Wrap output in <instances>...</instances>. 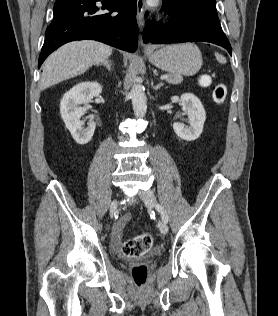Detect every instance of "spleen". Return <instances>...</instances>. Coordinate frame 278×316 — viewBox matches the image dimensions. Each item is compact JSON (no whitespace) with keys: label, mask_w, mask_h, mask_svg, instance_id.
<instances>
[{"label":"spleen","mask_w":278,"mask_h":316,"mask_svg":"<svg viewBox=\"0 0 278 316\" xmlns=\"http://www.w3.org/2000/svg\"><path fill=\"white\" fill-rule=\"evenodd\" d=\"M215 56H216V59L219 63H222V64L226 63V58L224 56H222L218 53H215Z\"/></svg>","instance_id":"obj_1"}]
</instances>
